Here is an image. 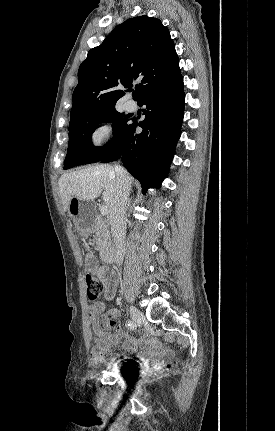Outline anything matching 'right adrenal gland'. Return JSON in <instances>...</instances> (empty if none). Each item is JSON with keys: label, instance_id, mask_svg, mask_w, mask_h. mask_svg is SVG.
Wrapping results in <instances>:
<instances>
[{"label": "right adrenal gland", "instance_id": "1", "mask_svg": "<svg viewBox=\"0 0 275 431\" xmlns=\"http://www.w3.org/2000/svg\"><path fill=\"white\" fill-rule=\"evenodd\" d=\"M130 203H131V199L128 200V206H130Z\"/></svg>", "mask_w": 275, "mask_h": 431}]
</instances>
